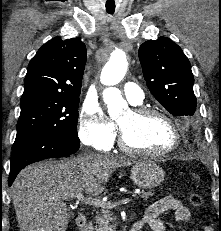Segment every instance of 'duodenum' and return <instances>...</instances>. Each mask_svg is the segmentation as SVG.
<instances>
[{
  "mask_svg": "<svg viewBox=\"0 0 221 231\" xmlns=\"http://www.w3.org/2000/svg\"><path fill=\"white\" fill-rule=\"evenodd\" d=\"M75 221H76V225L81 230L86 228V226H87V217L84 214H79L76 217ZM129 231H140V227H139L138 223H135L134 225H132L130 227Z\"/></svg>",
  "mask_w": 221,
  "mask_h": 231,
  "instance_id": "obj_1",
  "label": "duodenum"
}]
</instances>
